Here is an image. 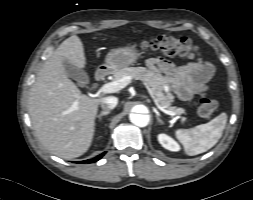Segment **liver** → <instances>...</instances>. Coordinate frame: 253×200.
I'll return each instance as SVG.
<instances>
[{
  "label": "liver",
  "mask_w": 253,
  "mask_h": 200,
  "mask_svg": "<svg viewBox=\"0 0 253 200\" xmlns=\"http://www.w3.org/2000/svg\"><path fill=\"white\" fill-rule=\"evenodd\" d=\"M64 60L85 68L84 47L78 36L64 40L39 70L30 89L28 112L39 142L52 154L72 159L91 146L101 98L81 93L65 73Z\"/></svg>",
  "instance_id": "obj_1"
}]
</instances>
